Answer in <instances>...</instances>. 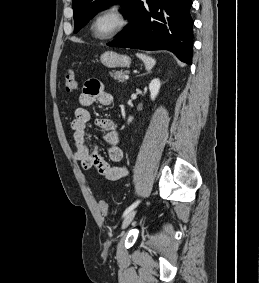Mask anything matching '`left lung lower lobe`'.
<instances>
[{
  "label": "left lung lower lobe",
  "mask_w": 259,
  "mask_h": 283,
  "mask_svg": "<svg viewBox=\"0 0 259 283\" xmlns=\"http://www.w3.org/2000/svg\"><path fill=\"white\" fill-rule=\"evenodd\" d=\"M191 0H136L130 24L108 44L143 50L167 49L187 64L192 63L193 20Z\"/></svg>",
  "instance_id": "0a47b994"
}]
</instances>
